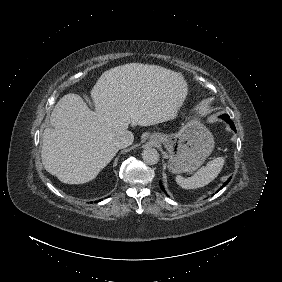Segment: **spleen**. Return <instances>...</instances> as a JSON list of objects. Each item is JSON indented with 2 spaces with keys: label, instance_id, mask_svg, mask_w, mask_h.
<instances>
[{
  "label": "spleen",
  "instance_id": "3e777b00",
  "mask_svg": "<svg viewBox=\"0 0 282 282\" xmlns=\"http://www.w3.org/2000/svg\"><path fill=\"white\" fill-rule=\"evenodd\" d=\"M226 158L219 156L208 162L205 167L200 168L192 177L184 178L175 176L176 184L186 190L200 189L213 182L223 170Z\"/></svg>",
  "mask_w": 282,
  "mask_h": 282
}]
</instances>
